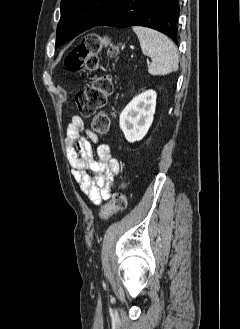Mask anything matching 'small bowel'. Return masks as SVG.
<instances>
[{
	"mask_svg": "<svg viewBox=\"0 0 240 329\" xmlns=\"http://www.w3.org/2000/svg\"><path fill=\"white\" fill-rule=\"evenodd\" d=\"M83 132L87 137L81 136ZM91 142L98 144V160L93 158ZM65 143L67 157L73 169L72 175L80 190L95 205L109 200L119 173L118 162L112 156L109 147L99 142V136L87 129L79 116L71 118L66 130Z\"/></svg>",
	"mask_w": 240,
	"mask_h": 329,
	"instance_id": "c3829d8e",
	"label": "small bowel"
}]
</instances>
